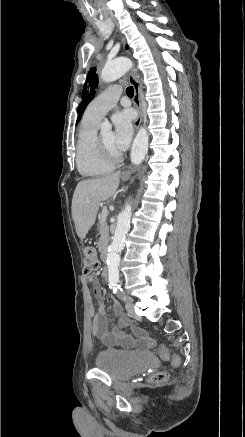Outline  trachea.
Returning <instances> with one entry per match:
<instances>
[{
  "instance_id": "3493384b",
  "label": "trachea",
  "mask_w": 245,
  "mask_h": 437,
  "mask_svg": "<svg viewBox=\"0 0 245 437\" xmlns=\"http://www.w3.org/2000/svg\"><path fill=\"white\" fill-rule=\"evenodd\" d=\"M126 94H127L129 97H132V96H133V94H134V89H133L132 86H131V87H128V88L126 89Z\"/></svg>"
}]
</instances>
